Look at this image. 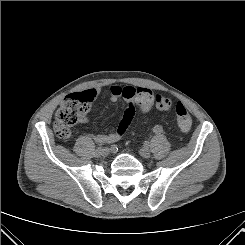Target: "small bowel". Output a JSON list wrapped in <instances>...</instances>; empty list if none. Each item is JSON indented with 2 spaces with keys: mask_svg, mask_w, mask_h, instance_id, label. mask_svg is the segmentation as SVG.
Here are the masks:
<instances>
[{
  "mask_svg": "<svg viewBox=\"0 0 245 245\" xmlns=\"http://www.w3.org/2000/svg\"><path fill=\"white\" fill-rule=\"evenodd\" d=\"M135 87L133 86H119V85H112L110 87V98L112 101H117L120 98H123L126 103L127 107L123 113V116L121 118V121L117 127V129L109 134H98V135H92V138L97 143H113L119 140V138L126 132L128 129L130 123L133 120L134 114H135ZM153 101L155 103L156 109L160 111H167L171 107V100L169 97L165 96L161 93H156L153 96ZM87 117H83L82 121L87 122Z\"/></svg>",
  "mask_w": 245,
  "mask_h": 245,
  "instance_id": "obj_1",
  "label": "small bowel"
}]
</instances>
